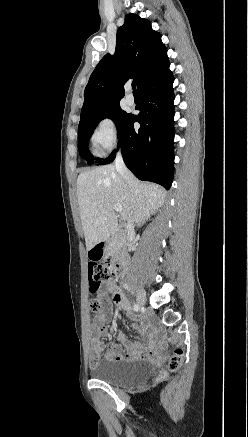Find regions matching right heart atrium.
Segmentation results:
<instances>
[{
    "mask_svg": "<svg viewBox=\"0 0 248 437\" xmlns=\"http://www.w3.org/2000/svg\"><path fill=\"white\" fill-rule=\"evenodd\" d=\"M119 133L115 119L105 115L95 124L90 140L95 151L104 154L110 151L118 142Z\"/></svg>",
    "mask_w": 248,
    "mask_h": 437,
    "instance_id": "1",
    "label": "right heart atrium"
}]
</instances>
